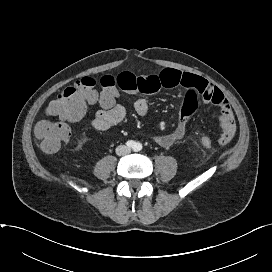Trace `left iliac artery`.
<instances>
[{
	"mask_svg": "<svg viewBox=\"0 0 272 272\" xmlns=\"http://www.w3.org/2000/svg\"><path fill=\"white\" fill-rule=\"evenodd\" d=\"M135 151H139L141 149V145L140 144H136L134 147Z\"/></svg>",
	"mask_w": 272,
	"mask_h": 272,
	"instance_id": "obj_1",
	"label": "left iliac artery"
}]
</instances>
